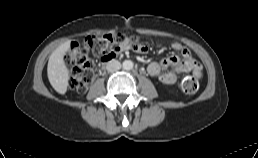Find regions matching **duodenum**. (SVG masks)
<instances>
[{
	"mask_svg": "<svg viewBox=\"0 0 258 158\" xmlns=\"http://www.w3.org/2000/svg\"><path fill=\"white\" fill-rule=\"evenodd\" d=\"M111 60H112V58H108V59L103 60L102 64L100 65V68H101V69H104L105 66H106V64H107L109 61H111Z\"/></svg>",
	"mask_w": 258,
	"mask_h": 158,
	"instance_id": "1",
	"label": "duodenum"
}]
</instances>
